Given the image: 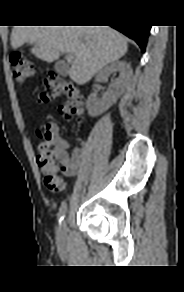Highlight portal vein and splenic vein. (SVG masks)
Returning <instances> with one entry per match:
<instances>
[{
    "label": "portal vein and splenic vein",
    "mask_w": 184,
    "mask_h": 292,
    "mask_svg": "<svg viewBox=\"0 0 184 292\" xmlns=\"http://www.w3.org/2000/svg\"><path fill=\"white\" fill-rule=\"evenodd\" d=\"M66 59H67V61H72L73 55L71 53H66Z\"/></svg>",
    "instance_id": "portal-vein-and-splenic-vein-1"
}]
</instances>
